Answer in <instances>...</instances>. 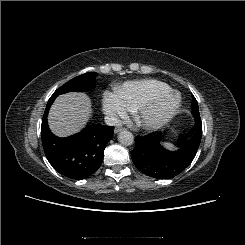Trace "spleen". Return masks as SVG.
I'll use <instances>...</instances> for the list:
<instances>
[{
	"instance_id": "obj_1",
	"label": "spleen",
	"mask_w": 245,
	"mask_h": 245,
	"mask_svg": "<svg viewBox=\"0 0 245 245\" xmlns=\"http://www.w3.org/2000/svg\"><path fill=\"white\" fill-rule=\"evenodd\" d=\"M162 146H164L165 148L169 149V150H175L176 147L173 144L170 143H160Z\"/></svg>"
}]
</instances>
